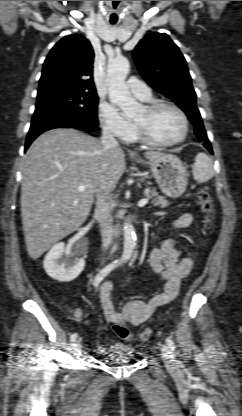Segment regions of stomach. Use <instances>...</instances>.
<instances>
[{
  "label": "stomach",
  "mask_w": 242,
  "mask_h": 416,
  "mask_svg": "<svg viewBox=\"0 0 242 416\" xmlns=\"http://www.w3.org/2000/svg\"><path fill=\"white\" fill-rule=\"evenodd\" d=\"M137 162L149 166L160 190L166 196L177 198L185 192L187 172L182 161L177 156L164 154L157 159L149 161L138 159Z\"/></svg>",
  "instance_id": "stomach-1"
}]
</instances>
